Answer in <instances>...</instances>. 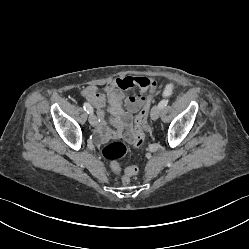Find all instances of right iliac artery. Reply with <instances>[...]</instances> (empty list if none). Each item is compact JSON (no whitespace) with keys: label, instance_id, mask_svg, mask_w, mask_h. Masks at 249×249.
Wrapping results in <instances>:
<instances>
[{"label":"right iliac artery","instance_id":"1","mask_svg":"<svg viewBox=\"0 0 249 249\" xmlns=\"http://www.w3.org/2000/svg\"><path fill=\"white\" fill-rule=\"evenodd\" d=\"M83 108L88 114L93 113V108L89 103H84Z\"/></svg>","mask_w":249,"mask_h":249}]
</instances>
